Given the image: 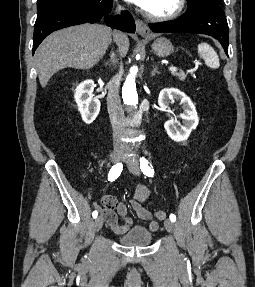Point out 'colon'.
I'll use <instances>...</instances> for the list:
<instances>
[{
	"instance_id": "1",
	"label": "colon",
	"mask_w": 255,
	"mask_h": 287,
	"mask_svg": "<svg viewBox=\"0 0 255 287\" xmlns=\"http://www.w3.org/2000/svg\"><path fill=\"white\" fill-rule=\"evenodd\" d=\"M154 215L159 220H163L166 217V213L164 211H161V210L155 211Z\"/></svg>"
}]
</instances>
